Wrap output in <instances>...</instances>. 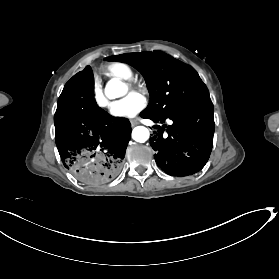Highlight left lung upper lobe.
Returning a JSON list of instances; mask_svg holds the SVG:
<instances>
[{"mask_svg": "<svg viewBox=\"0 0 279 279\" xmlns=\"http://www.w3.org/2000/svg\"><path fill=\"white\" fill-rule=\"evenodd\" d=\"M136 68L144 76L151 101L143 111L164 118L206 99L205 84L189 65L163 52L127 53L105 58Z\"/></svg>", "mask_w": 279, "mask_h": 279, "instance_id": "left-lung-upper-lobe-1", "label": "left lung upper lobe"}]
</instances>
